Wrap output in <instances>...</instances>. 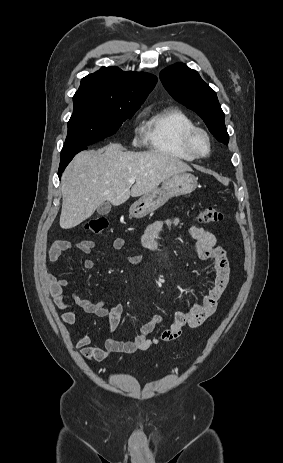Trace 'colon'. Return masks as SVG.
<instances>
[{"mask_svg":"<svg viewBox=\"0 0 283 463\" xmlns=\"http://www.w3.org/2000/svg\"><path fill=\"white\" fill-rule=\"evenodd\" d=\"M224 219V214L212 207H205L202 208L199 214V220L202 223L206 224H217L222 222ZM108 225L107 220L104 217H96L88 220L85 224V228L87 231L99 234L103 232Z\"/></svg>","mask_w":283,"mask_h":463,"instance_id":"1","label":"colon"}]
</instances>
